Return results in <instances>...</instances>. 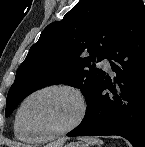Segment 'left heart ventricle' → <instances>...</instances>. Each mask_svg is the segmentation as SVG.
Listing matches in <instances>:
<instances>
[{"mask_svg":"<svg viewBox=\"0 0 145 147\" xmlns=\"http://www.w3.org/2000/svg\"><path fill=\"white\" fill-rule=\"evenodd\" d=\"M78 102L64 91H50L32 98L21 116V131L27 135L52 132L67 126L77 115Z\"/></svg>","mask_w":145,"mask_h":147,"instance_id":"1","label":"left heart ventricle"}]
</instances>
